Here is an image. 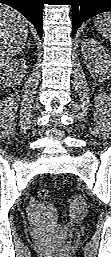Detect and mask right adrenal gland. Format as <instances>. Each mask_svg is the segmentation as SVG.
Listing matches in <instances>:
<instances>
[{
	"label": "right adrenal gland",
	"mask_w": 111,
	"mask_h": 257,
	"mask_svg": "<svg viewBox=\"0 0 111 257\" xmlns=\"http://www.w3.org/2000/svg\"><path fill=\"white\" fill-rule=\"evenodd\" d=\"M30 45H31V44H30V41H29V42L27 43V46L30 47Z\"/></svg>",
	"instance_id": "1"
}]
</instances>
